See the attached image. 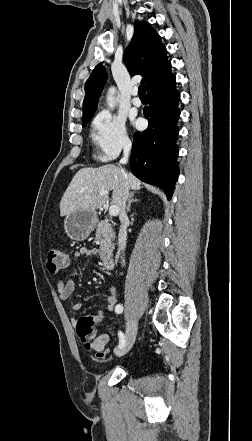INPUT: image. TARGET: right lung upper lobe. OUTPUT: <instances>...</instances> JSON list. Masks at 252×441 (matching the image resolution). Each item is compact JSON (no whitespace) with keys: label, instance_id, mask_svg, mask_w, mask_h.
<instances>
[{"label":"right lung upper lobe","instance_id":"1","mask_svg":"<svg viewBox=\"0 0 252 441\" xmlns=\"http://www.w3.org/2000/svg\"><path fill=\"white\" fill-rule=\"evenodd\" d=\"M166 54V47L150 24L145 21H135L133 38L124 51V62L130 74L144 76L142 82L146 84L147 90L160 79L170 63ZM106 79L107 72L100 63L94 68L85 84L83 122L92 118Z\"/></svg>","mask_w":252,"mask_h":441}]
</instances>
